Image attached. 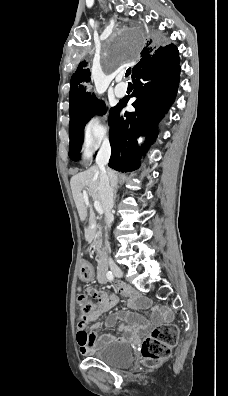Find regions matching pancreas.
<instances>
[{
    "label": "pancreas",
    "mask_w": 228,
    "mask_h": 396,
    "mask_svg": "<svg viewBox=\"0 0 228 396\" xmlns=\"http://www.w3.org/2000/svg\"><path fill=\"white\" fill-rule=\"evenodd\" d=\"M102 243H103V240H102V232H101V230H99L98 232H97V234H96V240L94 241V246H95V248H96V250L99 252V253H101V250H100V248H101V246H102Z\"/></svg>",
    "instance_id": "obj_1"
}]
</instances>
